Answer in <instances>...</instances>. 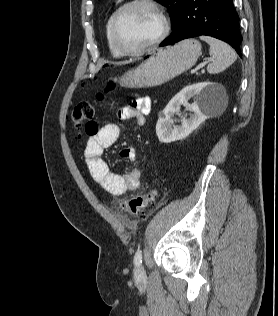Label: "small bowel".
Returning <instances> with one entry per match:
<instances>
[{
	"mask_svg": "<svg viewBox=\"0 0 278 316\" xmlns=\"http://www.w3.org/2000/svg\"><path fill=\"white\" fill-rule=\"evenodd\" d=\"M151 101L148 97H141L131 104L121 107L118 116L121 120L134 118L139 126L145 124V117L150 113ZM121 134V129L116 124H106L98 128L86 143L83 157L88 171L95 182L107 193L121 196L127 191L137 190L140 186L141 170L133 167L124 175L110 171L103 158L104 150L113 145ZM120 156L133 162L136 158L135 150L131 147L123 148Z\"/></svg>",
	"mask_w": 278,
	"mask_h": 316,
	"instance_id": "small-bowel-1",
	"label": "small bowel"
}]
</instances>
